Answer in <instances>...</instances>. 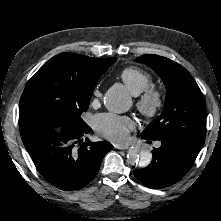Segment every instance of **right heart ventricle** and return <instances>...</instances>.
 I'll return each instance as SVG.
<instances>
[{
	"label": "right heart ventricle",
	"instance_id": "right-heart-ventricle-1",
	"mask_svg": "<svg viewBox=\"0 0 221 221\" xmlns=\"http://www.w3.org/2000/svg\"><path fill=\"white\" fill-rule=\"evenodd\" d=\"M121 79L134 95H139L151 84V77L143 70L136 67H128L121 71Z\"/></svg>",
	"mask_w": 221,
	"mask_h": 221
}]
</instances>
